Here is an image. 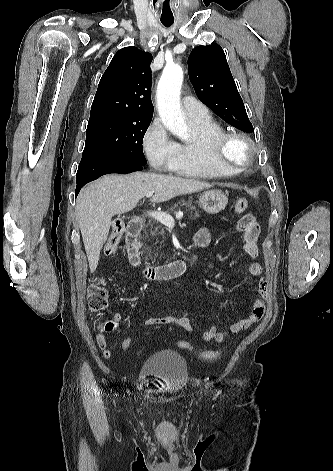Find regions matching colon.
<instances>
[{
  "label": "colon",
  "mask_w": 333,
  "mask_h": 471,
  "mask_svg": "<svg viewBox=\"0 0 333 471\" xmlns=\"http://www.w3.org/2000/svg\"><path fill=\"white\" fill-rule=\"evenodd\" d=\"M248 201L245 198H239L234 204V211L236 213H242L247 209ZM125 230L124 222L120 219L114 221L112 226L111 234L105 245V254L111 255L114 254L118 248L121 236ZM88 304L89 308L94 313H99L104 311L108 306V294L104 288V280L101 278H95L93 285L89 288L88 291ZM113 326L112 322H109L105 325V329L109 330ZM122 349L127 351L133 345L132 338L128 337L122 341ZM176 346L179 349L187 351H196L194 346L186 340H179L176 342ZM199 356L203 359L214 360L221 355L220 350H201L197 351Z\"/></svg>",
  "instance_id": "obj_1"
}]
</instances>
